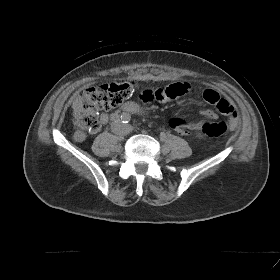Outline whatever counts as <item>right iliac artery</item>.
<instances>
[{
  "instance_id": "obj_1",
  "label": "right iliac artery",
  "mask_w": 280,
  "mask_h": 280,
  "mask_svg": "<svg viewBox=\"0 0 280 280\" xmlns=\"http://www.w3.org/2000/svg\"><path fill=\"white\" fill-rule=\"evenodd\" d=\"M110 118H111V120H112V121L117 122V121H119V120H120L121 115H120V114H118V113H113V114L110 116Z\"/></svg>"
}]
</instances>
